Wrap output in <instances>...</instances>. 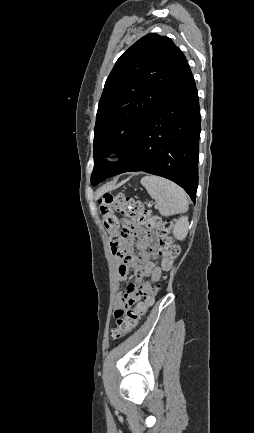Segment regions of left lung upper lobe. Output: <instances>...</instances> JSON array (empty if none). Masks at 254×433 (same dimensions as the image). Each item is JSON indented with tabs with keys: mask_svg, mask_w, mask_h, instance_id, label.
<instances>
[{
	"mask_svg": "<svg viewBox=\"0 0 254 433\" xmlns=\"http://www.w3.org/2000/svg\"><path fill=\"white\" fill-rule=\"evenodd\" d=\"M185 61L184 54L170 38L156 33L145 35L119 57L98 105L93 186L111 177L127 159ZM113 150L122 153V158L115 163L105 160Z\"/></svg>",
	"mask_w": 254,
	"mask_h": 433,
	"instance_id": "obj_1",
	"label": "left lung upper lobe"
}]
</instances>
